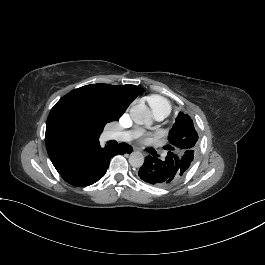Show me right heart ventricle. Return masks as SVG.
Wrapping results in <instances>:
<instances>
[{"instance_id": "right-heart-ventricle-1", "label": "right heart ventricle", "mask_w": 265, "mask_h": 265, "mask_svg": "<svg viewBox=\"0 0 265 265\" xmlns=\"http://www.w3.org/2000/svg\"><path fill=\"white\" fill-rule=\"evenodd\" d=\"M158 103H159L160 105H165V106H167L166 103L162 102L161 100H158ZM166 115H167V114H166Z\"/></svg>"}]
</instances>
